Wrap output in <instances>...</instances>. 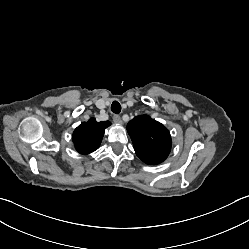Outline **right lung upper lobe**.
I'll list each match as a JSON object with an SVG mask.
<instances>
[{"label": "right lung upper lobe", "instance_id": "right-lung-upper-lobe-1", "mask_svg": "<svg viewBox=\"0 0 249 249\" xmlns=\"http://www.w3.org/2000/svg\"><path fill=\"white\" fill-rule=\"evenodd\" d=\"M109 121L97 122L94 118L81 123L73 132V143L81 154H89L98 149Z\"/></svg>", "mask_w": 249, "mask_h": 249}]
</instances>
